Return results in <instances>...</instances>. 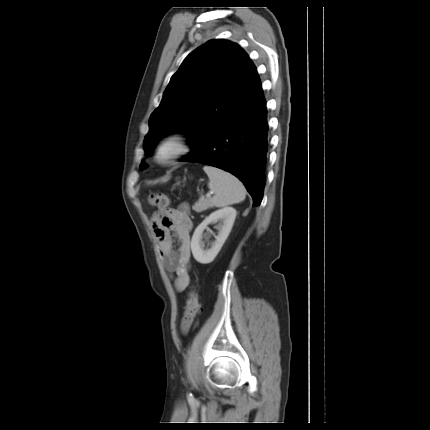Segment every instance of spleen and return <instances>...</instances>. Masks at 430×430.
I'll list each match as a JSON object with an SVG mask.
<instances>
[{
  "mask_svg": "<svg viewBox=\"0 0 430 430\" xmlns=\"http://www.w3.org/2000/svg\"><path fill=\"white\" fill-rule=\"evenodd\" d=\"M203 170L209 177L208 187L215 193L211 198L212 206L224 207L245 199V187L236 176L210 165H205Z\"/></svg>",
  "mask_w": 430,
  "mask_h": 430,
  "instance_id": "obj_1",
  "label": "spleen"
}]
</instances>
